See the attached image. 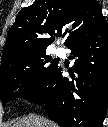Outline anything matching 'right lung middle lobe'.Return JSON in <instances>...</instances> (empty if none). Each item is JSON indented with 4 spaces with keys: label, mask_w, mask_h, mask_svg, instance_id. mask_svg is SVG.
<instances>
[{
    "label": "right lung middle lobe",
    "mask_w": 108,
    "mask_h": 127,
    "mask_svg": "<svg viewBox=\"0 0 108 127\" xmlns=\"http://www.w3.org/2000/svg\"><path fill=\"white\" fill-rule=\"evenodd\" d=\"M45 52L1 65L0 99L3 106L16 97L27 98L41 89L58 68Z\"/></svg>",
    "instance_id": "1"
}]
</instances>
